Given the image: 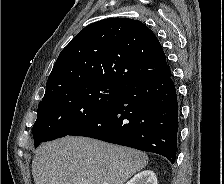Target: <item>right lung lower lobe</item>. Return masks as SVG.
Here are the masks:
<instances>
[{"label": "right lung lower lobe", "mask_w": 224, "mask_h": 184, "mask_svg": "<svg viewBox=\"0 0 224 184\" xmlns=\"http://www.w3.org/2000/svg\"><path fill=\"white\" fill-rule=\"evenodd\" d=\"M171 72L127 85L99 115L69 135L165 156L175 162L178 102Z\"/></svg>", "instance_id": "98d812e1"}]
</instances>
